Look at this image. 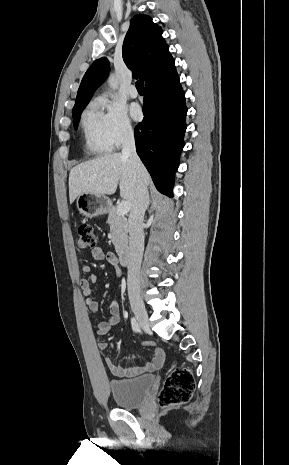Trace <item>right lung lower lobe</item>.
<instances>
[{"label":"right lung lower lobe","instance_id":"obj_1","mask_svg":"<svg viewBox=\"0 0 289 465\" xmlns=\"http://www.w3.org/2000/svg\"><path fill=\"white\" fill-rule=\"evenodd\" d=\"M145 90L144 119L135 128L137 154L156 188L172 197L174 175L187 127L185 94L178 75Z\"/></svg>","mask_w":289,"mask_h":465}]
</instances>
